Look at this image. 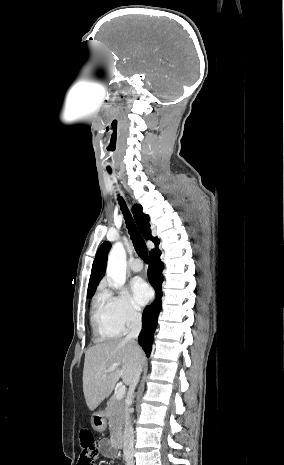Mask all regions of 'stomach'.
Here are the masks:
<instances>
[{
  "label": "stomach",
  "mask_w": 284,
  "mask_h": 465,
  "mask_svg": "<svg viewBox=\"0 0 284 465\" xmlns=\"http://www.w3.org/2000/svg\"><path fill=\"white\" fill-rule=\"evenodd\" d=\"M91 425L97 433H103L107 427V421L104 411H97L91 417Z\"/></svg>",
  "instance_id": "1"
}]
</instances>
